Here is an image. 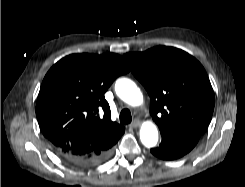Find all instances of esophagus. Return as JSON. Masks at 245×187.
Masks as SVG:
<instances>
[{"instance_id":"esophagus-1","label":"esophagus","mask_w":245,"mask_h":187,"mask_svg":"<svg viewBox=\"0 0 245 187\" xmlns=\"http://www.w3.org/2000/svg\"><path fill=\"white\" fill-rule=\"evenodd\" d=\"M141 125L140 120L135 119L129 126L130 128H138Z\"/></svg>"}]
</instances>
